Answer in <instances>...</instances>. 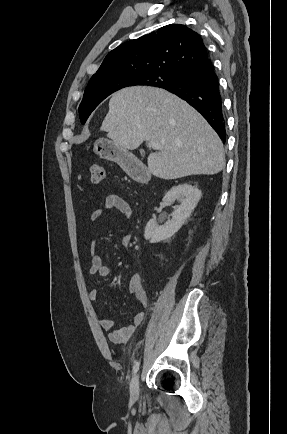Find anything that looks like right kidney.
Masks as SVG:
<instances>
[{"label": "right kidney", "mask_w": 287, "mask_h": 434, "mask_svg": "<svg viewBox=\"0 0 287 434\" xmlns=\"http://www.w3.org/2000/svg\"><path fill=\"white\" fill-rule=\"evenodd\" d=\"M201 191L189 183L172 187L163 197V202L171 204L178 201L180 205L172 213V219L159 226L154 219L148 221L144 231L146 240L157 243L172 237L183 225L201 199Z\"/></svg>", "instance_id": "1"}]
</instances>
